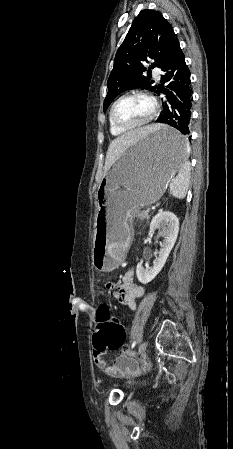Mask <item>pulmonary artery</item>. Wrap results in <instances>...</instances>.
Wrapping results in <instances>:
<instances>
[{
    "instance_id": "pulmonary-artery-1",
    "label": "pulmonary artery",
    "mask_w": 233,
    "mask_h": 449,
    "mask_svg": "<svg viewBox=\"0 0 233 449\" xmlns=\"http://www.w3.org/2000/svg\"><path fill=\"white\" fill-rule=\"evenodd\" d=\"M153 73H154V76H155V78H157V79H159L160 78V70L158 69V68H155L154 70H153Z\"/></svg>"
}]
</instances>
